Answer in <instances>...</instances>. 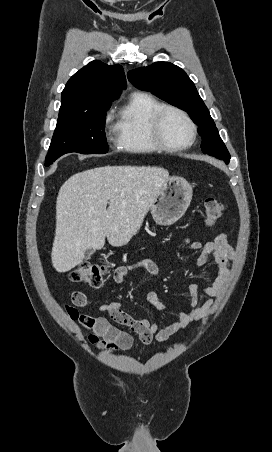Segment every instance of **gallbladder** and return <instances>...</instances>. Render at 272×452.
<instances>
[{
  "instance_id": "gallbladder-1",
  "label": "gallbladder",
  "mask_w": 272,
  "mask_h": 452,
  "mask_svg": "<svg viewBox=\"0 0 272 452\" xmlns=\"http://www.w3.org/2000/svg\"><path fill=\"white\" fill-rule=\"evenodd\" d=\"M94 252H95V250H93L91 248L87 249L85 252V259H90Z\"/></svg>"
}]
</instances>
